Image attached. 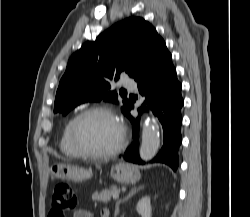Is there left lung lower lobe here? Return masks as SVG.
<instances>
[{"mask_svg":"<svg viewBox=\"0 0 250 217\" xmlns=\"http://www.w3.org/2000/svg\"><path fill=\"white\" fill-rule=\"evenodd\" d=\"M134 80L138 83L139 94L144 103L138 109L139 116H131L130 104L125 115L133 125V143L124 154V159L142 164L139 157V123L140 115L151 110L160 120L163 127V146L152 162L169 165L173 170L178 167V148L182 142L180 126L182 124L181 107L184 101L181 96V83L177 80L176 69L172 64V56L167 50L164 40L156 49L148 67L138 74ZM146 106V107H145Z\"/></svg>","mask_w":250,"mask_h":217,"instance_id":"1","label":"left lung lower lobe"}]
</instances>
